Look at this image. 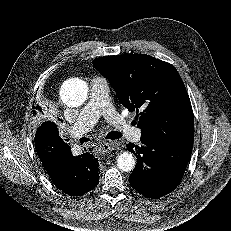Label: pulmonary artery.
<instances>
[{"label": "pulmonary artery", "mask_w": 231, "mask_h": 231, "mask_svg": "<svg viewBox=\"0 0 231 231\" xmlns=\"http://www.w3.org/2000/svg\"><path fill=\"white\" fill-rule=\"evenodd\" d=\"M110 87L105 78L94 77L90 82V96L87 105L80 112L76 122L71 127L73 137L80 136L92 129L100 116H103L125 138L139 142L142 138L140 129L129 125L110 102Z\"/></svg>", "instance_id": "obj_1"}]
</instances>
